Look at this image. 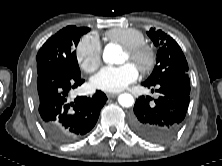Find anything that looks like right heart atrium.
Instances as JSON below:
<instances>
[{
	"mask_svg": "<svg viewBox=\"0 0 222 166\" xmlns=\"http://www.w3.org/2000/svg\"><path fill=\"white\" fill-rule=\"evenodd\" d=\"M76 59L86 72L95 71L101 64V44L94 35L83 37L76 47Z\"/></svg>",
	"mask_w": 222,
	"mask_h": 166,
	"instance_id": "right-heart-atrium-1",
	"label": "right heart atrium"
}]
</instances>
